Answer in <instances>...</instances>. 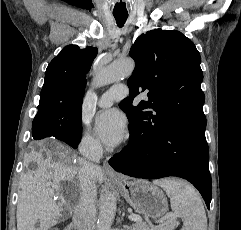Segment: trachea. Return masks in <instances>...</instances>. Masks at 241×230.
<instances>
[{
  "mask_svg": "<svg viewBox=\"0 0 241 230\" xmlns=\"http://www.w3.org/2000/svg\"><path fill=\"white\" fill-rule=\"evenodd\" d=\"M113 16L119 27H122L128 18L127 13H113Z\"/></svg>",
  "mask_w": 241,
  "mask_h": 230,
  "instance_id": "1",
  "label": "trachea"
}]
</instances>
